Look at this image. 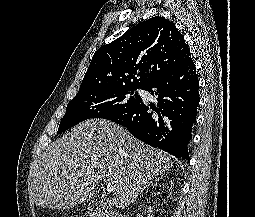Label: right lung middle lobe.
<instances>
[{
  "label": "right lung middle lobe",
  "instance_id": "right-lung-middle-lobe-1",
  "mask_svg": "<svg viewBox=\"0 0 255 217\" xmlns=\"http://www.w3.org/2000/svg\"><path fill=\"white\" fill-rule=\"evenodd\" d=\"M146 87H116L89 92H78L68 103L57 133L91 118L111 119L136 107L142 98L134 90Z\"/></svg>",
  "mask_w": 255,
  "mask_h": 217
}]
</instances>
